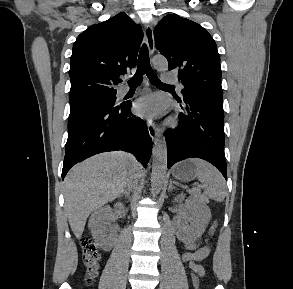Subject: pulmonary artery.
<instances>
[{
    "label": "pulmonary artery",
    "mask_w": 293,
    "mask_h": 289,
    "mask_svg": "<svg viewBox=\"0 0 293 289\" xmlns=\"http://www.w3.org/2000/svg\"><path fill=\"white\" fill-rule=\"evenodd\" d=\"M163 80L165 82H176V79L174 77H172L171 73H165L163 74ZM130 90V87L129 86H124L122 89H121V92L120 94L121 95H125L128 91Z\"/></svg>",
    "instance_id": "obj_1"
}]
</instances>
